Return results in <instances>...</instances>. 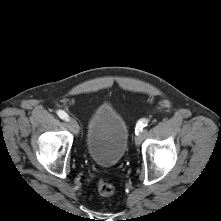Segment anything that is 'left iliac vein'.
<instances>
[{
  "label": "left iliac vein",
  "instance_id": "obj_1",
  "mask_svg": "<svg viewBox=\"0 0 221 221\" xmlns=\"http://www.w3.org/2000/svg\"><path fill=\"white\" fill-rule=\"evenodd\" d=\"M142 133H144V132H140V133H138V134L135 136V143H136V145H140V144H141L142 138H143Z\"/></svg>",
  "mask_w": 221,
  "mask_h": 221
}]
</instances>
